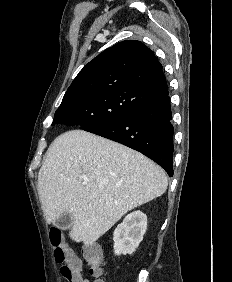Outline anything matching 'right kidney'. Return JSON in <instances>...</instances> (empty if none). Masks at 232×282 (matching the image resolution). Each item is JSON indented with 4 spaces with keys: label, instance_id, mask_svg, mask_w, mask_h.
I'll return each mask as SVG.
<instances>
[{
    "label": "right kidney",
    "instance_id": "ca27d5eb",
    "mask_svg": "<svg viewBox=\"0 0 232 282\" xmlns=\"http://www.w3.org/2000/svg\"><path fill=\"white\" fill-rule=\"evenodd\" d=\"M147 230V216L141 211L128 214L113 234L116 255L132 254Z\"/></svg>",
    "mask_w": 232,
    "mask_h": 282
}]
</instances>
